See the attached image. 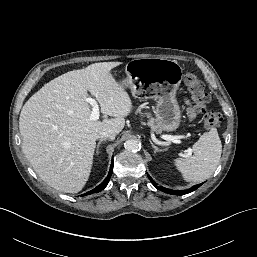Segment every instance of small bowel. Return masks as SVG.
Here are the masks:
<instances>
[{
  "label": "small bowel",
  "instance_id": "small-bowel-1",
  "mask_svg": "<svg viewBox=\"0 0 257 257\" xmlns=\"http://www.w3.org/2000/svg\"><path fill=\"white\" fill-rule=\"evenodd\" d=\"M188 115L190 118H193L195 116V112L192 108H188Z\"/></svg>",
  "mask_w": 257,
  "mask_h": 257
}]
</instances>
